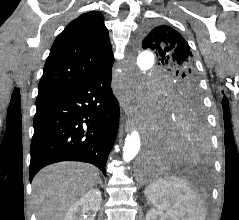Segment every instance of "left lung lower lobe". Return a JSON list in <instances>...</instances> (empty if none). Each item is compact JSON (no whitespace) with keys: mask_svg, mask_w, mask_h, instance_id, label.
I'll use <instances>...</instances> for the list:
<instances>
[{"mask_svg":"<svg viewBox=\"0 0 239 220\" xmlns=\"http://www.w3.org/2000/svg\"><path fill=\"white\" fill-rule=\"evenodd\" d=\"M209 138L201 110L162 109L152 139L141 159L145 174L163 172L176 164L197 163L207 156Z\"/></svg>","mask_w":239,"mask_h":220,"instance_id":"obj_1","label":"left lung lower lobe"}]
</instances>
